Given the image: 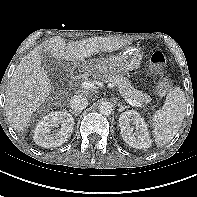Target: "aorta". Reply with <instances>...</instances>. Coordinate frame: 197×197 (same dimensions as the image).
Returning <instances> with one entry per match:
<instances>
[{
    "instance_id": "aorta-1",
    "label": "aorta",
    "mask_w": 197,
    "mask_h": 197,
    "mask_svg": "<svg viewBox=\"0 0 197 197\" xmlns=\"http://www.w3.org/2000/svg\"><path fill=\"white\" fill-rule=\"evenodd\" d=\"M99 112L103 115H110L113 111V105L109 101H101L98 106Z\"/></svg>"
}]
</instances>
